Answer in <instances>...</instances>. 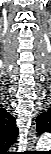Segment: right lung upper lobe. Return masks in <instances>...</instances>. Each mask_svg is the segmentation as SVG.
Returning <instances> with one entry per match:
<instances>
[{"instance_id":"1","label":"right lung upper lobe","mask_w":51,"mask_h":154,"mask_svg":"<svg viewBox=\"0 0 51 154\" xmlns=\"http://www.w3.org/2000/svg\"><path fill=\"white\" fill-rule=\"evenodd\" d=\"M3 119L6 122L10 135L13 136L15 132V119L7 111H4Z\"/></svg>"}]
</instances>
